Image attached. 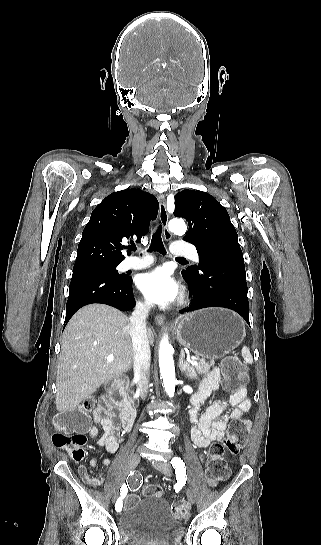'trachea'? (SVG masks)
Instances as JSON below:
<instances>
[{
    "label": "trachea",
    "mask_w": 321,
    "mask_h": 545,
    "mask_svg": "<svg viewBox=\"0 0 321 545\" xmlns=\"http://www.w3.org/2000/svg\"><path fill=\"white\" fill-rule=\"evenodd\" d=\"M161 232H162V227H161V225H159L157 227L156 231L152 235V240H151V244H150V247H149L148 251L149 252H159L162 255H165L166 251H165V248H164V245H163V242H162ZM129 250H133V251L136 250V246L133 244L131 247H129ZM176 260L179 261V262H182V261H186V258L177 257Z\"/></svg>",
    "instance_id": "trachea-1"
}]
</instances>
